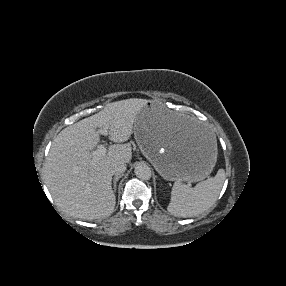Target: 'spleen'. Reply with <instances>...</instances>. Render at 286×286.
Returning a JSON list of instances; mask_svg holds the SVG:
<instances>
[{"label":"spleen","instance_id":"3e777b00","mask_svg":"<svg viewBox=\"0 0 286 286\" xmlns=\"http://www.w3.org/2000/svg\"><path fill=\"white\" fill-rule=\"evenodd\" d=\"M224 180L225 171L219 169L215 177L199 182L193 188L176 181L167 210L178 217H191L205 212L216 202Z\"/></svg>","mask_w":286,"mask_h":286}]
</instances>
